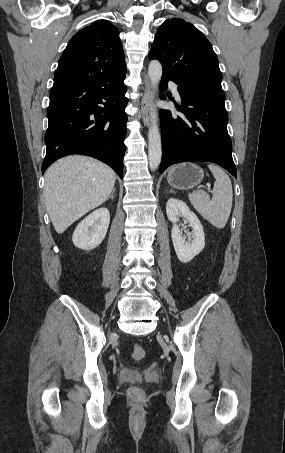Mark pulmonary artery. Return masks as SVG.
Listing matches in <instances>:
<instances>
[{
	"mask_svg": "<svg viewBox=\"0 0 285 453\" xmlns=\"http://www.w3.org/2000/svg\"><path fill=\"white\" fill-rule=\"evenodd\" d=\"M169 86H170L174 96L176 97V99L180 100L181 96H180V93H179V90H178V86L175 83H173V82H170Z\"/></svg>",
	"mask_w": 285,
	"mask_h": 453,
	"instance_id": "obj_1",
	"label": "pulmonary artery"
}]
</instances>
